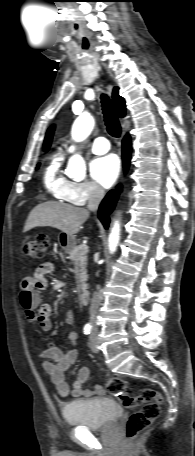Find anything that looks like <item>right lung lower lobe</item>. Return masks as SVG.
<instances>
[{
    "label": "right lung lower lobe",
    "mask_w": 195,
    "mask_h": 456,
    "mask_svg": "<svg viewBox=\"0 0 195 456\" xmlns=\"http://www.w3.org/2000/svg\"><path fill=\"white\" fill-rule=\"evenodd\" d=\"M130 154H131V139H130V136L126 135L125 138L123 139V151H122V158H123L125 170L128 169ZM120 188L121 187L118 186L117 190H111L106 195V197L104 198V200L102 201V203L99 207L98 217L106 229L108 228V225L110 222L108 215L114 209L115 203H116L118 195H119Z\"/></svg>",
    "instance_id": "right-lung-lower-lobe-1"
}]
</instances>
